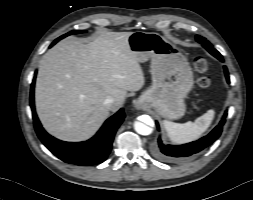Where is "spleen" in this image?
Listing matches in <instances>:
<instances>
[{"mask_svg":"<svg viewBox=\"0 0 253 200\" xmlns=\"http://www.w3.org/2000/svg\"><path fill=\"white\" fill-rule=\"evenodd\" d=\"M214 115V110H208L194 122L188 121L181 124L164 120L163 125L171 142L175 144H183L201 137L211 125Z\"/></svg>","mask_w":253,"mask_h":200,"instance_id":"obj_1","label":"spleen"}]
</instances>
